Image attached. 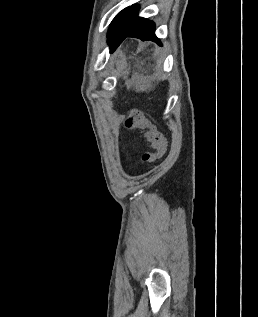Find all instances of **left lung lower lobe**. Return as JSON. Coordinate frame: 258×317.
<instances>
[{
  "instance_id": "left-lung-lower-lobe-1",
  "label": "left lung lower lobe",
  "mask_w": 258,
  "mask_h": 317,
  "mask_svg": "<svg viewBox=\"0 0 258 317\" xmlns=\"http://www.w3.org/2000/svg\"><path fill=\"white\" fill-rule=\"evenodd\" d=\"M139 6L132 5L129 9V17L122 29H109L108 43L113 52L126 37H136L143 41L151 40L162 46L155 36V25L152 21L138 17Z\"/></svg>"
}]
</instances>
